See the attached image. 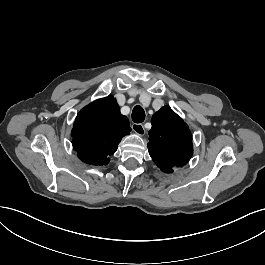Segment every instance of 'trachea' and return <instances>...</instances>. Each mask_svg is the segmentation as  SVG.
<instances>
[{"instance_id": "obj_1", "label": "trachea", "mask_w": 265, "mask_h": 265, "mask_svg": "<svg viewBox=\"0 0 265 265\" xmlns=\"http://www.w3.org/2000/svg\"><path fill=\"white\" fill-rule=\"evenodd\" d=\"M132 120L135 123H142L145 120V111L141 106H135L132 111Z\"/></svg>"}]
</instances>
